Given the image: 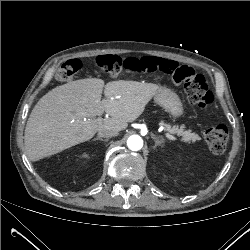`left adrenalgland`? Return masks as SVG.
<instances>
[{"label":"left adrenal gland","instance_id":"1","mask_svg":"<svg viewBox=\"0 0 250 250\" xmlns=\"http://www.w3.org/2000/svg\"><path fill=\"white\" fill-rule=\"evenodd\" d=\"M151 137L154 139L155 142L154 149L157 148V146H161L164 143L163 139H159L153 133L151 134Z\"/></svg>","mask_w":250,"mask_h":250}]
</instances>
